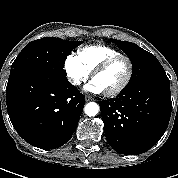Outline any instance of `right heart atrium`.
<instances>
[{
    "label": "right heart atrium",
    "instance_id": "obj_1",
    "mask_svg": "<svg viewBox=\"0 0 178 178\" xmlns=\"http://www.w3.org/2000/svg\"><path fill=\"white\" fill-rule=\"evenodd\" d=\"M64 70L68 81L73 86H80L90 77V72L79 59L78 55L67 56L64 63Z\"/></svg>",
    "mask_w": 178,
    "mask_h": 178
}]
</instances>
